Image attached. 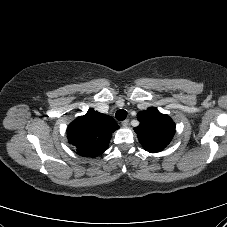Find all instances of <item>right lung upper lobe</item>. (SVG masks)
Listing matches in <instances>:
<instances>
[{
    "label": "right lung upper lobe",
    "instance_id": "right-lung-upper-lobe-1",
    "mask_svg": "<svg viewBox=\"0 0 227 227\" xmlns=\"http://www.w3.org/2000/svg\"><path fill=\"white\" fill-rule=\"evenodd\" d=\"M118 128L112 117L89 109L68 126L67 138L78 155L97 157L107 150L112 133Z\"/></svg>",
    "mask_w": 227,
    "mask_h": 227
}]
</instances>
